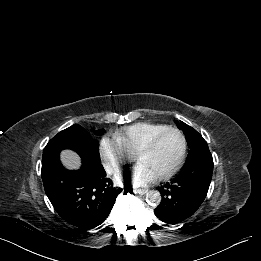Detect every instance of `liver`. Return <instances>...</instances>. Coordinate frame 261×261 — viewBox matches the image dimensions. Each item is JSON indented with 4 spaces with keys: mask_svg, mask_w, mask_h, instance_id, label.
Listing matches in <instances>:
<instances>
[{
    "mask_svg": "<svg viewBox=\"0 0 261 261\" xmlns=\"http://www.w3.org/2000/svg\"><path fill=\"white\" fill-rule=\"evenodd\" d=\"M60 159L68 169H78L81 165L80 157L71 150H63Z\"/></svg>",
    "mask_w": 261,
    "mask_h": 261,
    "instance_id": "1",
    "label": "liver"
}]
</instances>
